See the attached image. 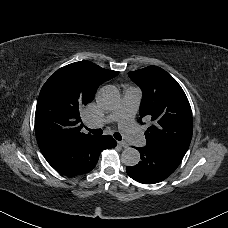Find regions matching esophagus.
Listing matches in <instances>:
<instances>
[{
	"label": "esophagus",
	"mask_w": 228,
	"mask_h": 228,
	"mask_svg": "<svg viewBox=\"0 0 228 228\" xmlns=\"http://www.w3.org/2000/svg\"><path fill=\"white\" fill-rule=\"evenodd\" d=\"M117 144L123 148H126L128 147V144L126 142H123V141H118Z\"/></svg>",
	"instance_id": "obj_1"
}]
</instances>
